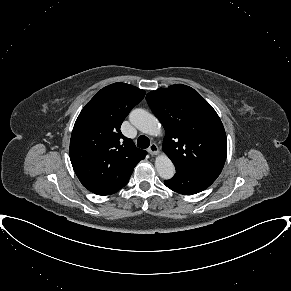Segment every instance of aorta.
Instances as JSON below:
<instances>
[{"mask_svg": "<svg viewBox=\"0 0 291 291\" xmlns=\"http://www.w3.org/2000/svg\"><path fill=\"white\" fill-rule=\"evenodd\" d=\"M130 122L141 132L157 136L161 134V125L158 119L144 109H134L129 115ZM155 168L163 179H171L175 174V167L169 157L161 154L156 157Z\"/></svg>", "mask_w": 291, "mask_h": 291, "instance_id": "1", "label": "aorta"}]
</instances>
